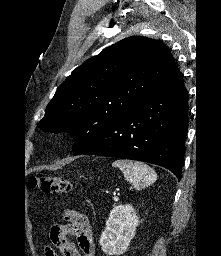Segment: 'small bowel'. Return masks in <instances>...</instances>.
Returning <instances> with one entry per match:
<instances>
[{
  "mask_svg": "<svg viewBox=\"0 0 221 256\" xmlns=\"http://www.w3.org/2000/svg\"><path fill=\"white\" fill-rule=\"evenodd\" d=\"M66 224L54 225L50 230L51 246L45 248V256H94L95 247L90 221L84 213L73 210L65 212ZM73 234L76 241L66 236Z\"/></svg>",
  "mask_w": 221,
  "mask_h": 256,
  "instance_id": "obj_1",
  "label": "small bowel"
}]
</instances>
